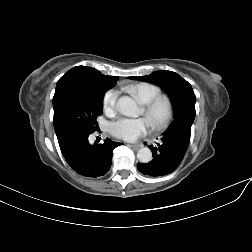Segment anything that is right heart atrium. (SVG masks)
I'll list each match as a JSON object with an SVG mask.
<instances>
[{"label": "right heart atrium", "instance_id": "d8ad5b80", "mask_svg": "<svg viewBox=\"0 0 252 252\" xmlns=\"http://www.w3.org/2000/svg\"><path fill=\"white\" fill-rule=\"evenodd\" d=\"M118 99V92L116 90H108L103 96V110L104 112L112 116L116 112V104Z\"/></svg>", "mask_w": 252, "mask_h": 252}]
</instances>
